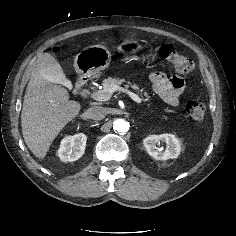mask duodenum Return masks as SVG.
Wrapping results in <instances>:
<instances>
[{
  "label": "duodenum",
  "instance_id": "1",
  "mask_svg": "<svg viewBox=\"0 0 236 236\" xmlns=\"http://www.w3.org/2000/svg\"><path fill=\"white\" fill-rule=\"evenodd\" d=\"M87 81L85 78H79L76 82L75 92L76 94H83Z\"/></svg>",
  "mask_w": 236,
  "mask_h": 236
}]
</instances>
